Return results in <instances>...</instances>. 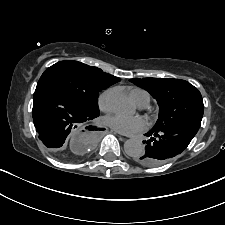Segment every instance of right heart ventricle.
I'll list each match as a JSON object with an SVG mask.
<instances>
[{
  "instance_id": "obj_1",
  "label": "right heart ventricle",
  "mask_w": 225,
  "mask_h": 225,
  "mask_svg": "<svg viewBox=\"0 0 225 225\" xmlns=\"http://www.w3.org/2000/svg\"><path fill=\"white\" fill-rule=\"evenodd\" d=\"M130 96L137 104L140 102H144L146 103V106H147L150 102L149 94L142 89H138V88L133 89L130 92Z\"/></svg>"
}]
</instances>
